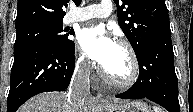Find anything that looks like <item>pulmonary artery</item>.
<instances>
[{"label":"pulmonary artery","mask_w":193,"mask_h":112,"mask_svg":"<svg viewBox=\"0 0 193 112\" xmlns=\"http://www.w3.org/2000/svg\"><path fill=\"white\" fill-rule=\"evenodd\" d=\"M112 10V2L110 0H104L97 5H91L79 10H73L66 16L65 22L70 24L94 18H105L111 14Z\"/></svg>","instance_id":"obj_1"}]
</instances>
